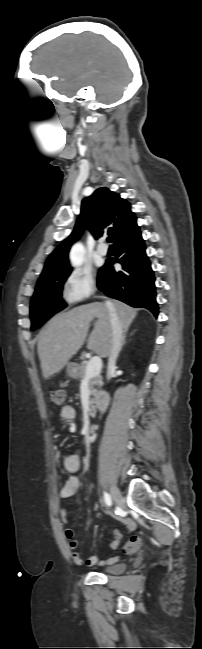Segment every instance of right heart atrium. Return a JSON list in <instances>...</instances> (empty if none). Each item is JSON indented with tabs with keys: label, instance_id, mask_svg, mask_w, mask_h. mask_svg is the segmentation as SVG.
I'll return each mask as SVG.
<instances>
[{
	"label": "right heart atrium",
	"instance_id": "d8ad5b80",
	"mask_svg": "<svg viewBox=\"0 0 202 649\" xmlns=\"http://www.w3.org/2000/svg\"><path fill=\"white\" fill-rule=\"evenodd\" d=\"M96 291V281L91 271L74 269L63 280L61 300L64 304H73L90 298Z\"/></svg>",
	"mask_w": 202,
	"mask_h": 649
}]
</instances>
